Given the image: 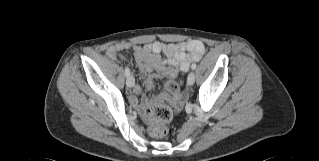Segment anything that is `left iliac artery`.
I'll return each mask as SVG.
<instances>
[{
  "instance_id": "44dca946",
  "label": "left iliac artery",
  "mask_w": 319,
  "mask_h": 161,
  "mask_svg": "<svg viewBox=\"0 0 319 161\" xmlns=\"http://www.w3.org/2000/svg\"><path fill=\"white\" fill-rule=\"evenodd\" d=\"M196 66H197V65H196L195 63H193L192 66H191V69H192V70H195V69H196Z\"/></svg>"
}]
</instances>
